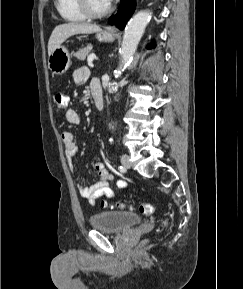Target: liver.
Segmentation results:
<instances>
[{"label": "liver", "instance_id": "obj_1", "mask_svg": "<svg viewBox=\"0 0 243 289\" xmlns=\"http://www.w3.org/2000/svg\"><path fill=\"white\" fill-rule=\"evenodd\" d=\"M101 31L98 25L88 23H64L56 26L48 42V55L59 47L67 38L75 34H90Z\"/></svg>", "mask_w": 243, "mask_h": 289}]
</instances>
